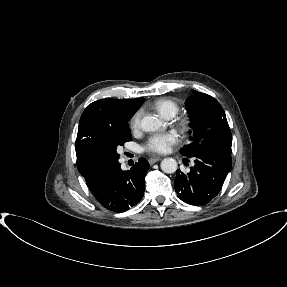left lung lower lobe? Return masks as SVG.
<instances>
[{
    "label": "left lung lower lobe",
    "instance_id": "1",
    "mask_svg": "<svg viewBox=\"0 0 287 287\" xmlns=\"http://www.w3.org/2000/svg\"><path fill=\"white\" fill-rule=\"evenodd\" d=\"M193 157L195 165L188 173L177 170L175 191L188 204H207L219 193L231 171V148L208 149Z\"/></svg>",
    "mask_w": 287,
    "mask_h": 287
}]
</instances>
